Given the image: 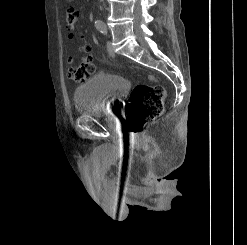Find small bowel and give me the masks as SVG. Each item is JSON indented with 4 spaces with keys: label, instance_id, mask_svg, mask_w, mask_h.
I'll return each mask as SVG.
<instances>
[{
    "label": "small bowel",
    "instance_id": "obj_1",
    "mask_svg": "<svg viewBox=\"0 0 247 245\" xmlns=\"http://www.w3.org/2000/svg\"><path fill=\"white\" fill-rule=\"evenodd\" d=\"M76 22V12L73 8H68L67 10V23H68V28L72 30L75 26ZM70 38H73V33L70 32L69 34Z\"/></svg>",
    "mask_w": 247,
    "mask_h": 245
}]
</instances>
